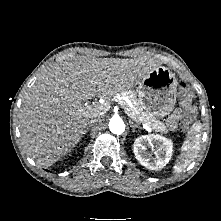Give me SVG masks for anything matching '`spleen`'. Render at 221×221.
Listing matches in <instances>:
<instances>
[{
  "label": "spleen",
  "mask_w": 221,
  "mask_h": 221,
  "mask_svg": "<svg viewBox=\"0 0 221 221\" xmlns=\"http://www.w3.org/2000/svg\"><path fill=\"white\" fill-rule=\"evenodd\" d=\"M201 129L199 123H195L192 126L191 133L188 135L186 141L183 143L182 146V153L178 157L174 167V173H181L185 170L193 159L196 157L198 150H199V143H200V134L198 133Z\"/></svg>",
  "instance_id": "obj_1"
}]
</instances>
